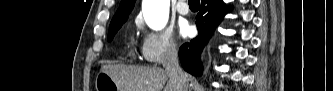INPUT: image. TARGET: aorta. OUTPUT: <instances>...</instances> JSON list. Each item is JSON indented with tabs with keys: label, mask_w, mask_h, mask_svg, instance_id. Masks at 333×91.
<instances>
[{
	"label": "aorta",
	"mask_w": 333,
	"mask_h": 91,
	"mask_svg": "<svg viewBox=\"0 0 333 91\" xmlns=\"http://www.w3.org/2000/svg\"><path fill=\"white\" fill-rule=\"evenodd\" d=\"M170 0H143V15L147 25L154 30L163 29L169 17Z\"/></svg>",
	"instance_id": "aorta-1"
}]
</instances>
